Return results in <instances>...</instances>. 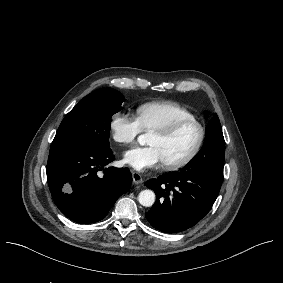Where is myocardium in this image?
<instances>
[{
  "label": "myocardium",
  "mask_w": 283,
  "mask_h": 283,
  "mask_svg": "<svg viewBox=\"0 0 283 283\" xmlns=\"http://www.w3.org/2000/svg\"><path fill=\"white\" fill-rule=\"evenodd\" d=\"M194 124L198 129V138L196 144L190 153L183 158L181 161L175 163H165V166L168 170H179L187 165H189L200 153L206 138V128L203 123L195 117H183L174 121L171 125L161 131H156L154 134L159 136L162 139H170L172 138L177 131L186 124Z\"/></svg>",
  "instance_id": "1"
}]
</instances>
